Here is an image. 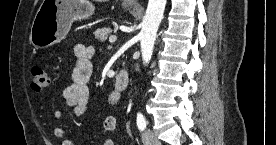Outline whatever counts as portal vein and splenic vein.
I'll use <instances>...</instances> for the list:
<instances>
[{
  "instance_id": "1",
  "label": "portal vein and splenic vein",
  "mask_w": 276,
  "mask_h": 145,
  "mask_svg": "<svg viewBox=\"0 0 276 145\" xmlns=\"http://www.w3.org/2000/svg\"><path fill=\"white\" fill-rule=\"evenodd\" d=\"M117 40V37L115 35L110 36L109 42L114 43Z\"/></svg>"
}]
</instances>
